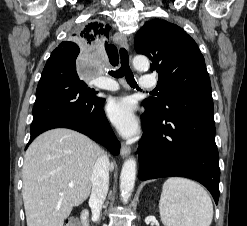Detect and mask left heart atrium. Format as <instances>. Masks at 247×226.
<instances>
[{
  "label": "left heart atrium",
  "instance_id": "left-heart-atrium-1",
  "mask_svg": "<svg viewBox=\"0 0 247 226\" xmlns=\"http://www.w3.org/2000/svg\"><path fill=\"white\" fill-rule=\"evenodd\" d=\"M107 114L125 137H131L138 130V121L134 114V104L129 98H115L107 105Z\"/></svg>",
  "mask_w": 247,
  "mask_h": 226
}]
</instances>
